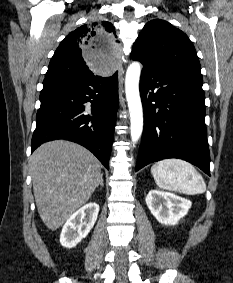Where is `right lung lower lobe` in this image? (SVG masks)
Segmentation results:
<instances>
[{"label": "right lung lower lobe", "mask_w": 233, "mask_h": 283, "mask_svg": "<svg viewBox=\"0 0 233 283\" xmlns=\"http://www.w3.org/2000/svg\"><path fill=\"white\" fill-rule=\"evenodd\" d=\"M31 151L66 139L89 149L109 169L118 108V75L46 79Z\"/></svg>", "instance_id": "98d812e1"}]
</instances>
